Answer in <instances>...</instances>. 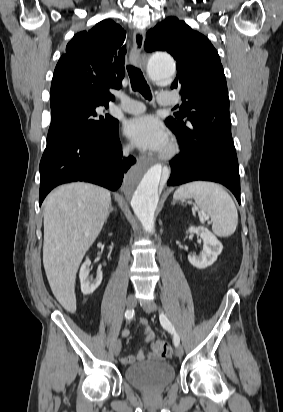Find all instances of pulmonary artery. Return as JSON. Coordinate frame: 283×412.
Segmentation results:
<instances>
[{"instance_id": "e3ab8cb5", "label": "pulmonary artery", "mask_w": 283, "mask_h": 412, "mask_svg": "<svg viewBox=\"0 0 283 412\" xmlns=\"http://www.w3.org/2000/svg\"><path fill=\"white\" fill-rule=\"evenodd\" d=\"M175 102L176 97L170 92L161 93L157 97V103L160 106H172ZM120 108L130 114H139L145 110V106L142 102L129 97H122V104Z\"/></svg>"}]
</instances>
